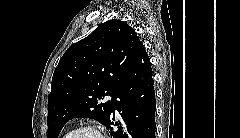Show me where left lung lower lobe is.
<instances>
[{"mask_svg":"<svg viewBox=\"0 0 240 138\" xmlns=\"http://www.w3.org/2000/svg\"><path fill=\"white\" fill-rule=\"evenodd\" d=\"M150 59L144 46L138 50L136 59L127 76L112 99V110L104 126L113 138L155 137V90ZM115 109L122 123L114 122ZM118 126L113 131V126Z\"/></svg>","mask_w":240,"mask_h":138,"instance_id":"1","label":"left lung lower lobe"}]
</instances>
